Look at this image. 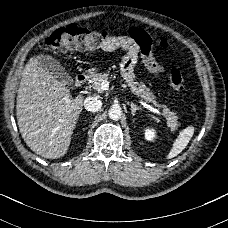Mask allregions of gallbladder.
Instances as JSON below:
<instances>
[{
	"instance_id": "obj_1",
	"label": "gallbladder",
	"mask_w": 228,
	"mask_h": 228,
	"mask_svg": "<svg viewBox=\"0 0 228 228\" xmlns=\"http://www.w3.org/2000/svg\"><path fill=\"white\" fill-rule=\"evenodd\" d=\"M38 65L52 72L65 85L71 86L73 78L66 72L65 68L52 56L41 55L38 59Z\"/></svg>"
}]
</instances>
